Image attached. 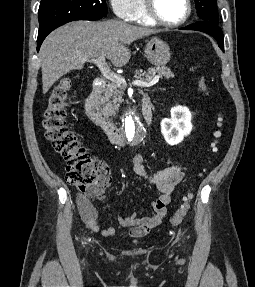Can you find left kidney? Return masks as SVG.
Instances as JSON below:
<instances>
[{
	"label": "left kidney",
	"instance_id": "1",
	"mask_svg": "<svg viewBox=\"0 0 255 287\" xmlns=\"http://www.w3.org/2000/svg\"><path fill=\"white\" fill-rule=\"evenodd\" d=\"M191 112L185 106L171 108V118H164L161 122V132L170 145L180 144L184 136H188L192 130Z\"/></svg>",
	"mask_w": 255,
	"mask_h": 287
}]
</instances>
